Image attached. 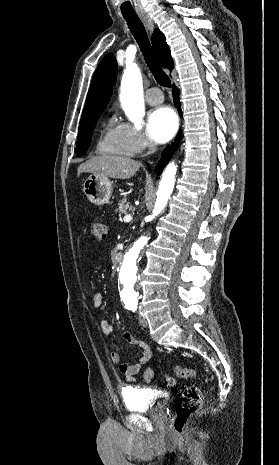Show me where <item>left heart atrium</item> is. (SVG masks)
<instances>
[{
	"instance_id": "obj_1",
	"label": "left heart atrium",
	"mask_w": 279,
	"mask_h": 465,
	"mask_svg": "<svg viewBox=\"0 0 279 465\" xmlns=\"http://www.w3.org/2000/svg\"><path fill=\"white\" fill-rule=\"evenodd\" d=\"M178 121L176 114L168 107L153 110L147 121L149 137L158 143L170 140L176 133Z\"/></svg>"
}]
</instances>
